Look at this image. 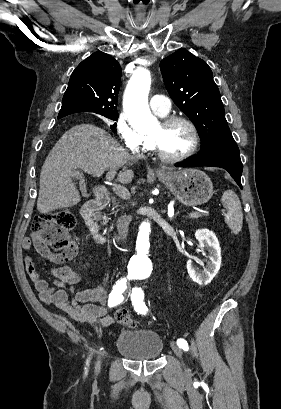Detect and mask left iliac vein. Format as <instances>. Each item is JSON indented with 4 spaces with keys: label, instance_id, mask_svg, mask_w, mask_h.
Returning <instances> with one entry per match:
<instances>
[{
    "label": "left iliac vein",
    "instance_id": "left-iliac-vein-1",
    "mask_svg": "<svg viewBox=\"0 0 281 409\" xmlns=\"http://www.w3.org/2000/svg\"><path fill=\"white\" fill-rule=\"evenodd\" d=\"M171 348H172V351L176 354V356L181 359L183 355L182 349L174 342H171Z\"/></svg>",
    "mask_w": 281,
    "mask_h": 409
}]
</instances>
